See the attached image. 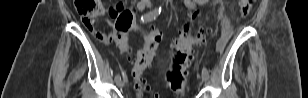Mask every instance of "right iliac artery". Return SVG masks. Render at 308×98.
Listing matches in <instances>:
<instances>
[{
  "label": "right iliac artery",
  "mask_w": 308,
  "mask_h": 98,
  "mask_svg": "<svg viewBox=\"0 0 308 98\" xmlns=\"http://www.w3.org/2000/svg\"><path fill=\"white\" fill-rule=\"evenodd\" d=\"M161 12V7L160 8H156L155 10L148 12L147 14L143 15L141 17V21L144 22H149L154 20ZM120 78V75H116L115 80Z\"/></svg>",
  "instance_id": "1"
}]
</instances>
